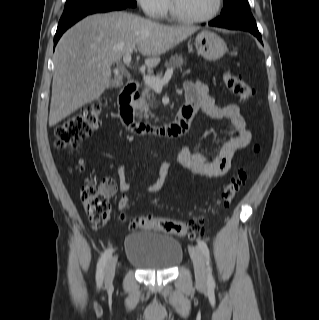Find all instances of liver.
Segmentation results:
<instances>
[{"instance_id":"obj_1","label":"liver","mask_w":319,"mask_h":320,"mask_svg":"<svg viewBox=\"0 0 319 320\" xmlns=\"http://www.w3.org/2000/svg\"><path fill=\"white\" fill-rule=\"evenodd\" d=\"M196 31L190 26H166L127 12L94 14L78 22L59 40L49 126L99 99L111 82V65L136 48L153 67L160 55Z\"/></svg>"}]
</instances>
